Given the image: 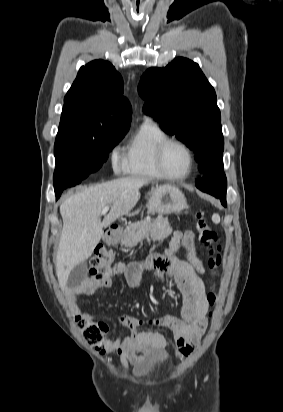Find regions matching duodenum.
Here are the masks:
<instances>
[{
	"label": "duodenum",
	"instance_id": "duodenum-1",
	"mask_svg": "<svg viewBox=\"0 0 283 412\" xmlns=\"http://www.w3.org/2000/svg\"><path fill=\"white\" fill-rule=\"evenodd\" d=\"M120 234V228L117 226H112L109 228L106 236L107 244L114 245L117 243Z\"/></svg>",
	"mask_w": 283,
	"mask_h": 412
}]
</instances>
